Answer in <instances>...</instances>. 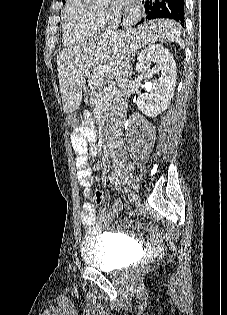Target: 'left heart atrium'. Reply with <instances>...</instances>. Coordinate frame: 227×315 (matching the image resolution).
I'll return each instance as SVG.
<instances>
[{
	"mask_svg": "<svg viewBox=\"0 0 227 315\" xmlns=\"http://www.w3.org/2000/svg\"><path fill=\"white\" fill-rule=\"evenodd\" d=\"M128 0H116L117 3L119 4H125Z\"/></svg>",
	"mask_w": 227,
	"mask_h": 315,
	"instance_id": "1",
	"label": "left heart atrium"
}]
</instances>
